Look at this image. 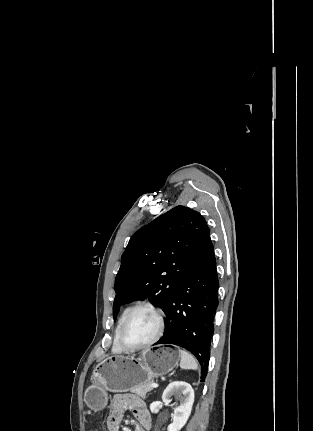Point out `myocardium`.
<instances>
[{"instance_id": "myocardium-1", "label": "myocardium", "mask_w": 313, "mask_h": 431, "mask_svg": "<svg viewBox=\"0 0 313 431\" xmlns=\"http://www.w3.org/2000/svg\"><path fill=\"white\" fill-rule=\"evenodd\" d=\"M140 310H150L156 315L157 320H158V329H157V332L154 335V337L152 339H150L149 341H147L146 343H143V344L137 345V346H129L123 340V333H124V330L127 327L128 323H129V321ZM164 329H165V315H164L163 311L151 303L139 304V305H136L135 307H133L129 311V313L126 315L125 319L123 320V322L120 326L119 332H118L117 341H118L119 346L124 351L141 350V349L147 348V347L153 345L155 342H157L160 339V337L162 336Z\"/></svg>"}]
</instances>
